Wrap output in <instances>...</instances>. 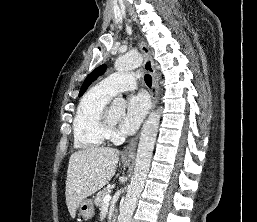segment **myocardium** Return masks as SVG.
Masks as SVG:
<instances>
[{"instance_id": "myocardium-1", "label": "myocardium", "mask_w": 257, "mask_h": 222, "mask_svg": "<svg viewBox=\"0 0 257 222\" xmlns=\"http://www.w3.org/2000/svg\"><path fill=\"white\" fill-rule=\"evenodd\" d=\"M109 111L110 110L108 108H106L103 113V118H102L103 127L108 135L114 132L115 126H116V124H114L110 119Z\"/></svg>"}]
</instances>
